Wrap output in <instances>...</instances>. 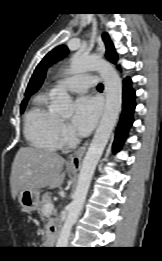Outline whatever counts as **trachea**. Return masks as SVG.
Here are the masks:
<instances>
[{
	"instance_id": "trachea-1",
	"label": "trachea",
	"mask_w": 162,
	"mask_h": 261,
	"mask_svg": "<svg viewBox=\"0 0 162 261\" xmlns=\"http://www.w3.org/2000/svg\"><path fill=\"white\" fill-rule=\"evenodd\" d=\"M97 88H98L99 90H102V89H103V85L100 83V84H98Z\"/></svg>"
}]
</instances>
